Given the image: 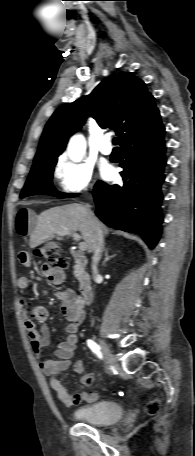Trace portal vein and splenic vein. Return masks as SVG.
Segmentation results:
<instances>
[{"instance_id": "portal-vein-and-splenic-vein-1", "label": "portal vein and splenic vein", "mask_w": 195, "mask_h": 456, "mask_svg": "<svg viewBox=\"0 0 195 456\" xmlns=\"http://www.w3.org/2000/svg\"><path fill=\"white\" fill-rule=\"evenodd\" d=\"M67 234H71L73 236V238L76 240V241H80L81 239V236L77 233H72V232H66ZM87 249V245L85 242H80L79 243V250L80 251H85Z\"/></svg>"}]
</instances>
